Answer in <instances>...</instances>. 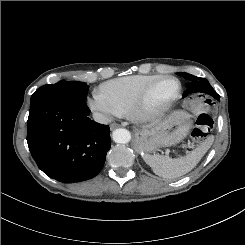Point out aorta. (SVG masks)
I'll use <instances>...</instances> for the list:
<instances>
[{
	"mask_svg": "<svg viewBox=\"0 0 245 245\" xmlns=\"http://www.w3.org/2000/svg\"><path fill=\"white\" fill-rule=\"evenodd\" d=\"M113 141L120 144H126L131 140V134L127 129L118 128L113 131Z\"/></svg>",
	"mask_w": 245,
	"mask_h": 245,
	"instance_id": "1",
	"label": "aorta"
}]
</instances>
